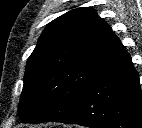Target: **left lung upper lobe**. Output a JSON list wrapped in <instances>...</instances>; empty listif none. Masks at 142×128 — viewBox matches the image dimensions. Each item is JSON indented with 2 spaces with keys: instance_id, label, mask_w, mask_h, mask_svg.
Wrapping results in <instances>:
<instances>
[{
  "instance_id": "1",
  "label": "left lung upper lobe",
  "mask_w": 142,
  "mask_h": 128,
  "mask_svg": "<svg viewBox=\"0 0 142 128\" xmlns=\"http://www.w3.org/2000/svg\"><path fill=\"white\" fill-rule=\"evenodd\" d=\"M124 46L94 9H73L47 25L28 58L18 107L23 122L65 118L89 81Z\"/></svg>"
}]
</instances>
